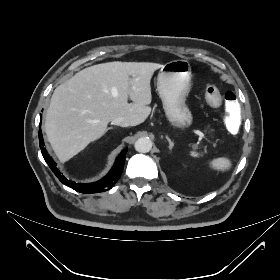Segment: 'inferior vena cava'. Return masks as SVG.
<instances>
[{
    "instance_id": "inferior-vena-cava-1",
    "label": "inferior vena cava",
    "mask_w": 280,
    "mask_h": 280,
    "mask_svg": "<svg viewBox=\"0 0 280 280\" xmlns=\"http://www.w3.org/2000/svg\"><path fill=\"white\" fill-rule=\"evenodd\" d=\"M112 124L118 125V126H121V127H128V126H130L129 120H127L124 117L115 118L114 120H112Z\"/></svg>"
}]
</instances>
